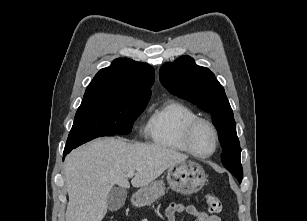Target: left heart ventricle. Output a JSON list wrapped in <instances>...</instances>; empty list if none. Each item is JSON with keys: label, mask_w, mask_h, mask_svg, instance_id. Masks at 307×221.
Returning <instances> with one entry per match:
<instances>
[{"label": "left heart ventricle", "mask_w": 307, "mask_h": 221, "mask_svg": "<svg viewBox=\"0 0 307 221\" xmlns=\"http://www.w3.org/2000/svg\"><path fill=\"white\" fill-rule=\"evenodd\" d=\"M192 143L196 151L201 154H208L213 150L214 136L207 126L201 124L193 133Z\"/></svg>", "instance_id": "left-heart-ventricle-1"}]
</instances>
